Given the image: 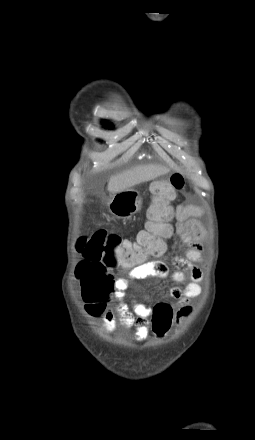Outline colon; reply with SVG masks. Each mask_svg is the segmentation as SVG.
Wrapping results in <instances>:
<instances>
[{
  "label": "colon",
  "instance_id": "5ec220e1",
  "mask_svg": "<svg viewBox=\"0 0 255 440\" xmlns=\"http://www.w3.org/2000/svg\"><path fill=\"white\" fill-rule=\"evenodd\" d=\"M184 186V178L173 174L168 180L153 184L152 203L147 211L145 229L136 241L124 238L106 230H95L82 236L77 251L83 256L78 264L77 274L85 269L80 279L82 297L92 314L104 312L113 289L110 270L135 268L148 262L149 256H160L165 252L162 238L170 234V202L175 192ZM173 308L159 303L152 314V330L159 342L171 327Z\"/></svg>",
  "mask_w": 255,
  "mask_h": 440
}]
</instances>
